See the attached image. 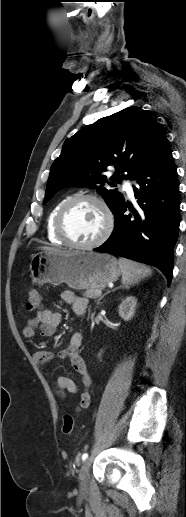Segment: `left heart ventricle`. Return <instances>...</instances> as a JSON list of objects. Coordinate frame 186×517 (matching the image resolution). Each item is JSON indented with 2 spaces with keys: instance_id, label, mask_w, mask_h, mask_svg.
Segmentation results:
<instances>
[{
  "instance_id": "b2bd125f",
  "label": "left heart ventricle",
  "mask_w": 186,
  "mask_h": 517,
  "mask_svg": "<svg viewBox=\"0 0 186 517\" xmlns=\"http://www.w3.org/2000/svg\"><path fill=\"white\" fill-rule=\"evenodd\" d=\"M104 225L105 218L100 207L92 201H82L70 210L65 229L72 240L89 243L99 237Z\"/></svg>"
}]
</instances>
